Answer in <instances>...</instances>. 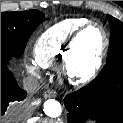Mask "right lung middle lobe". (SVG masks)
Returning <instances> with one entry per match:
<instances>
[{"label":"right lung middle lobe","instance_id":"1","mask_svg":"<svg viewBox=\"0 0 123 123\" xmlns=\"http://www.w3.org/2000/svg\"><path fill=\"white\" fill-rule=\"evenodd\" d=\"M45 20L39 10L1 12V64L21 57L32 32Z\"/></svg>","mask_w":123,"mask_h":123}]
</instances>
